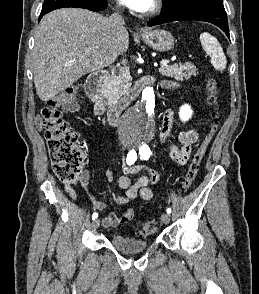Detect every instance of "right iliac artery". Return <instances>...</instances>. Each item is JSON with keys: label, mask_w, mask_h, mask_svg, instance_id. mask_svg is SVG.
<instances>
[{"label": "right iliac artery", "mask_w": 259, "mask_h": 294, "mask_svg": "<svg viewBox=\"0 0 259 294\" xmlns=\"http://www.w3.org/2000/svg\"><path fill=\"white\" fill-rule=\"evenodd\" d=\"M137 160V153L134 149H132L131 151H129V153L127 154V159L126 162L128 165H132L135 163V161ZM98 217V213H93L92 215V219H96Z\"/></svg>", "instance_id": "obj_1"}]
</instances>
